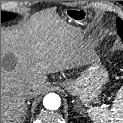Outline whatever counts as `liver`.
Listing matches in <instances>:
<instances>
[{
	"mask_svg": "<svg viewBox=\"0 0 123 123\" xmlns=\"http://www.w3.org/2000/svg\"><path fill=\"white\" fill-rule=\"evenodd\" d=\"M83 63L75 30L54 10L37 14L14 29H1V123H21L27 111L24 89L35 96L47 74Z\"/></svg>",
	"mask_w": 123,
	"mask_h": 123,
	"instance_id": "6515ba94",
	"label": "liver"
}]
</instances>
